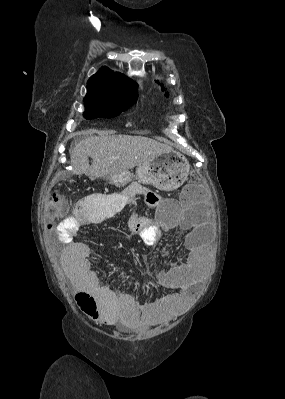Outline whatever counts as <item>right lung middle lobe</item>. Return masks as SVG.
<instances>
[{
	"instance_id": "right-lung-middle-lobe-1",
	"label": "right lung middle lobe",
	"mask_w": 285,
	"mask_h": 399,
	"mask_svg": "<svg viewBox=\"0 0 285 399\" xmlns=\"http://www.w3.org/2000/svg\"><path fill=\"white\" fill-rule=\"evenodd\" d=\"M138 95L113 99H84L86 119L112 118L127 110L137 101Z\"/></svg>"
}]
</instances>
